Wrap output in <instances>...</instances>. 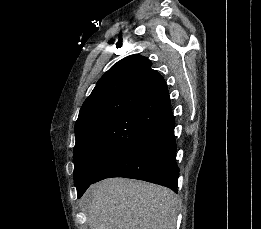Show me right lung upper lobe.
Instances as JSON below:
<instances>
[{"label":"right lung upper lobe","instance_id":"cb5924a9","mask_svg":"<svg viewBox=\"0 0 261 229\" xmlns=\"http://www.w3.org/2000/svg\"><path fill=\"white\" fill-rule=\"evenodd\" d=\"M170 114L163 77L146 57L131 55L112 66L83 103L75 145L132 147L138 131L154 130Z\"/></svg>","mask_w":261,"mask_h":229}]
</instances>
